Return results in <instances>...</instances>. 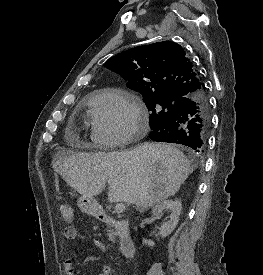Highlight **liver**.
<instances>
[{
    "mask_svg": "<svg viewBox=\"0 0 263 275\" xmlns=\"http://www.w3.org/2000/svg\"><path fill=\"white\" fill-rule=\"evenodd\" d=\"M53 169L83 196L99 195L108 183V200L134 204L139 211L175 195L196 168L180 150L144 143L121 152H59Z\"/></svg>",
    "mask_w": 263,
    "mask_h": 275,
    "instance_id": "1",
    "label": "liver"
}]
</instances>
